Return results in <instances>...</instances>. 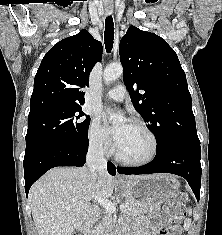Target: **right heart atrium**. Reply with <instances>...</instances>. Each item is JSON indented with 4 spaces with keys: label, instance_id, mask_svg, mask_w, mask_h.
<instances>
[{
    "label": "right heart atrium",
    "instance_id": "1",
    "mask_svg": "<svg viewBox=\"0 0 222 235\" xmlns=\"http://www.w3.org/2000/svg\"><path fill=\"white\" fill-rule=\"evenodd\" d=\"M88 140L90 147L98 153H108L112 149L110 137L98 117H94L90 123Z\"/></svg>",
    "mask_w": 222,
    "mask_h": 235
}]
</instances>
